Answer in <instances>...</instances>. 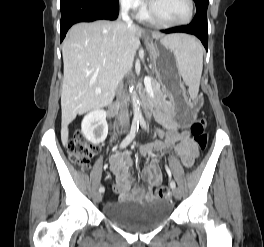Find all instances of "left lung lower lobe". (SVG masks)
<instances>
[{
  "label": "left lung lower lobe",
  "instance_id": "1",
  "mask_svg": "<svg viewBox=\"0 0 264 247\" xmlns=\"http://www.w3.org/2000/svg\"><path fill=\"white\" fill-rule=\"evenodd\" d=\"M207 14L197 13L193 21L187 26L174 27L162 30L164 33H188L197 36L207 50L208 44V25Z\"/></svg>",
  "mask_w": 264,
  "mask_h": 247
}]
</instances>
